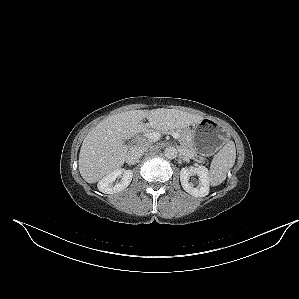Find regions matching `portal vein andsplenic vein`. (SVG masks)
I'll list each match as a JSON object with an SVG mask.
<instances>
[{
    "mask_svg": "<svg viewBox=\"0 0 299 299\" xmlns=\"http://www.w3.org/2000/svg\"><path fill=\"white\" fill-rule=\"evenodd\" d=\"M170 134H171L172 137L175 138V139L179 138V134L176 133V132H172V133H170ZM145 136H146L148 139H150V140H152V141L155 142V141H158V140L160 139L161 134H160L159 132H157V131H154V132L146 133Z\"/></svg>",
    "mask_w": 299,
    "mask_h": 299,
    "instance_id": "obj_1",
    "label": "portal vein and splenic vein"
}]
</instances>
